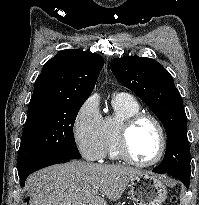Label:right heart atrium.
<instances>
[{"label": "right heart atrium", "mask_w": 199, "mask_h": 205, "mask_svg": "<svg viewBox=\"0 0 199 205\" xmlns=\"http://www.w3.org/2000/svg\"><path fill=\"white\" fill-rule=\"evenodd\" d=\"M98 98H87L78 109L73 126V138L81 155L89 161L104 157V136Z\"/></svg>", "instance_id": "obj_1"}]
</instances>
